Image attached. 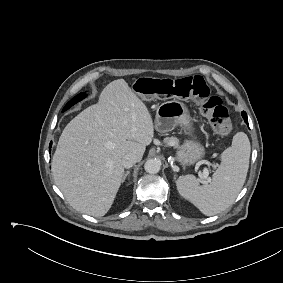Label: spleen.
<instances>
[{"label":"spleen","mask_w":283,"mask_h":283,"mask_svg":"<svg viewBox=\"0 0 283 283\" xmlns=\"http://www.w3.org/2000/svg\"><path fill=\"white\" fill-rule=\"evenodd\" d=\"M250 150L247 135L238 132L231 147L223 151L221 164L214 172L212 181L199 186L195 176H180L176 181L178 192L206 216L224 211L234 202L245 183Z\"/></svg>","instance_id":"obj_1"}]
</instances>
